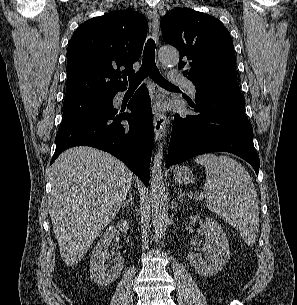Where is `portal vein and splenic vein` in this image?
Returning a JSON list of instances; mask_svg holds the SVG:
<instances>
[{
    "mask_svg": "<svg viewBox=\"0 0 297 305\" xmlns=\"http://www.w3.org/2000/svg\"><path fill=\"white\" fill-rule=\"evenodd\" d=\"M205 195L204 194H199V198H203Z\"/></svg>",
    "mask_w": 297,
    "mask_h": 305,
    "instance_id": "obj_1",
    "label": "portal vein and splenic vein"
}]
</instances>
